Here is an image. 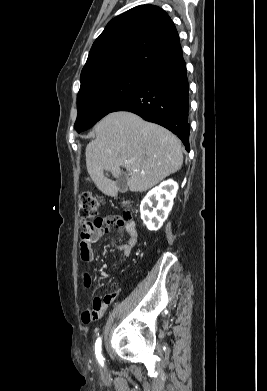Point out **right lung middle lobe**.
<instances>
[{
    "label": "right lung middle lobe",
    "instance_id": "1",
    "mask_svg": "<svg viewBox=\"0 0 267 391\" xmlns=\"http://www.w3.org/2000/svg\"><path fill=\"white\" fill-rule=\"evenodd\" d=\"M147 73L118 71L98 75L81 85L77 96L78 116L75 129H89L137 90Z\"/></svg>",
    "mask_w": 267,
    "mask_h": 391
}]
</instances>
